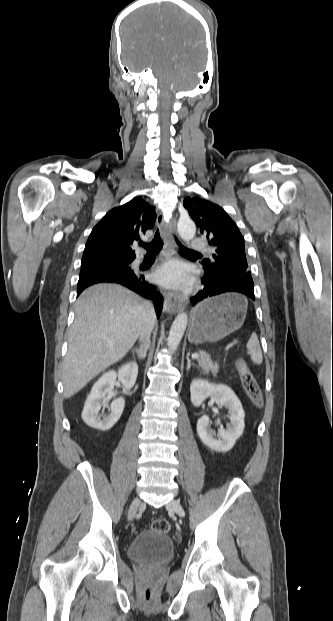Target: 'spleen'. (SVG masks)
I'll return each instance as SVG.
<instances>
[{"label":"spleen","instance_id":"obj_1","mask_svg":"<svg viewBox=\"0 0 333 621\" xmlns=\"http://www.w3.org/2000/svg\"><path fill=\"white\" fill-rule=\"evenodd\" d=\"M251 360L255 364H261L263 361L262 351L256 334H252L246 345Z\"/></svg>","mask_w":333,"mask_h":621}]
</instances>
